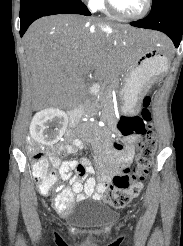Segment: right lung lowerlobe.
<instances>
[{
	"label": "right lung lower lobe",
	"instance_id": "98d812e1",
	"mask_svg": "<svg viewBox=\"0 0 183 246\" xmlns=\"http://www.w3.org/2000/svg\"><path fill=\"white\" fill-rule=\"evenodd\" d=\"M54 14L91 15L87 7L79 0H53L22 4L20 7L21 37L36 19Z\"/></svg>",
	"mask_w": 183,
	"mask_h": 246
}]
</instances>
